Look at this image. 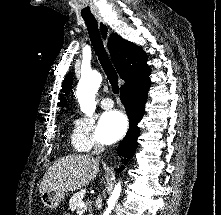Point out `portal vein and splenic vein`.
I'll return each instance as SVG.
<instances>
[{"instance_id": "18ae733b", "label": "portal vein and splenic vein", "mask_w": 221, "mask_h": 215, "mask_svg": "<svg viewBox=\"0 0 221 215\" xmlns=\"http://www.w3.org/2000/svg\"><path fill=\"white\" fill-rule=\"evenodd\" d=\"M79 206L82 208V207H85V206H86V204H85V202H84V201H81V202H80V204H79Z\"/></svg>"}]
</instances>
